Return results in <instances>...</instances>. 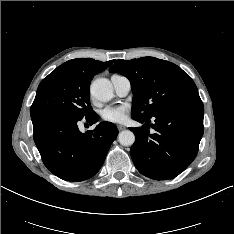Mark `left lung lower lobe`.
Returning <instances> with one entry per match:
<instances>
[{
	"label": "left lung lower lobe",
	"instance_id": "left-lung-lower-lobe-1",
	"mask_svg": "<svg viewBox=\"0 0 234 234\" xmlns=\"http://www.w3.org/2000/svg\"><path fill=\"white\" fill-rule=\"evenodd\" d=\"M204 107L201 99L174 106L150 119L134 120L142 127L131 128L135 142L130 154L138 171L155 180L172 179L184 171L195 159L204 132Z\"/></svg>",
	"mask_w": 234,
	"mask_h": 234
}]
</instances>
